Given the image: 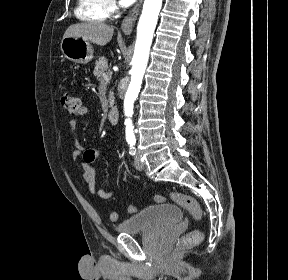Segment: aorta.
Here are the masks:
<instances>
[{
  "mask_svg": "<svg viewBox=\"0 0 288 280\" xmlns=\"http://www.w3.org/2000/svg\"><path fill=\"white\" fill-rule=\"evenodd\" d=\"M161 7L162 0L144 1L142 14L137 26V39L132 59L131 81L124 99V116H133L134 101L141 88ZM124 126L126 140H135L137 128L133 126V121H124Z\"/></svg>",
  "mask_w": 288,
  "mask_h": 280,
  "instance_id": "aorta-1",
  "label": "aorta"
}]
</instances>
